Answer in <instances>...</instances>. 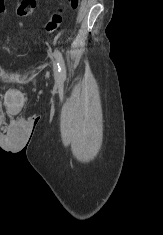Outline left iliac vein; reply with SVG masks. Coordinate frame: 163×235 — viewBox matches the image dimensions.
I'll list each match as a JSON object with an SVG mask.
<instances>
[{
	"label": "left iliac vein",
	"mask_w": 163,
	"mask_h": 235,
	"mask_svg": "<svg viewBox=\"0 0 163 235\" xmlns=\"http://www.w3.org/2000/svg\"><path fill=\"white\" fill-rule=\"evenodd\" d=\"M53 72H54L55 80L59 81V79H60L59 69H58L57 63L55 61L53 62Z\"/></svg>",
	"instance_id": "4c4485c4"
}]
</instances>
